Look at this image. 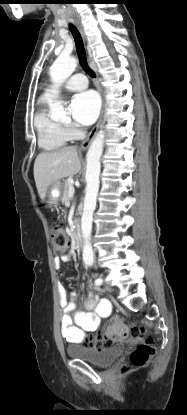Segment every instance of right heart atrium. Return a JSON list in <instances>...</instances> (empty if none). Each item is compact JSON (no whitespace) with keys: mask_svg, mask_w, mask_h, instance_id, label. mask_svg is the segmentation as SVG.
<instances>
[{"mask_svg":"<svg viewBox=\"0 0 187 415\" xmlns=\"http://www.w3.org/2000/svg\"><path fill=\"white\" fill-rule=\"evenodd\" d=\"M65 129L71 138L77 137L80 133V130L73 124H67Z\"/></svg>","mask_w":187,"mask_h":415,"instance_id":"right-heart-atrium-1","label":"right heart atrium"}]
</instances>
